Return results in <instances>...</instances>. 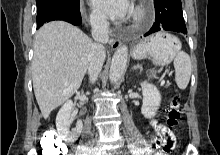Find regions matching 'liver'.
<instances>
[{
	"mask_svg": "<svg viewBox=\"0 0 220 155\" xmlns=\"http://www.w3.org/2000/svg\"><path fill=\"white\" fill-rule=\"evenodd\" d=\"M92 40L63 21L42 26L35 37L32 80L44 119L79 89L89 65Z\"/></svg>",
	"mask_w": 220,
	"mask_h": 155,
	"instance_id": "obj_1",
	"label": "liver"
}]
</instances>
